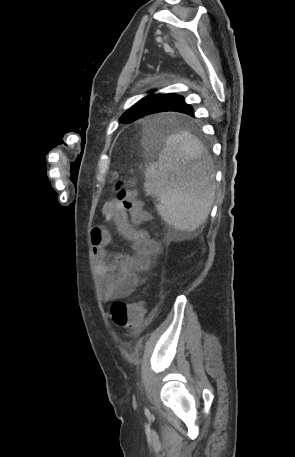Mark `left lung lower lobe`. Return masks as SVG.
Here are the masks:
<instances>
[{
  "instance_id": "obj_1",
  "label": "left lung lower lobe",
  "mask_w": 295,
  "mask_h": 457,
  "mask_svg": "<svg viewBox=\"0 0 295 457\" xmlns=\"http://www.w3.org/2000/svg\"><path fill=\"white\" fill-rule=\"evenodd\" d=\"M164 111H175V112H180L184 113L187 115L194 116V111L193 108L186 104L183 97L179 95H172L156 105L152 110L150 114L157 113V112H164ZM165 131L164 127L156 128L154 129V132L156 133H162Z\"/></svg>"
}]
</instances>
